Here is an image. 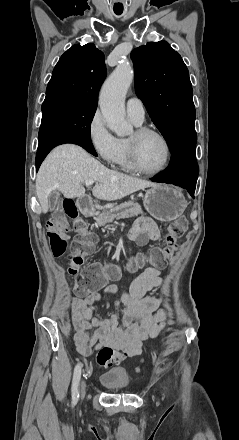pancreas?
Returning a JSON list of instances; mask_svg holds the SVG:
<instances>
[{"label":"pancreas","mask_w":239,"mask_h":440,"mask_svg":"<svg viewBox=\"0 0 239 440\" xmlns=\"http://www.w3.org/2000/svg\"><path fill=\"white\" fill-rule=\"evenodd\" d=\"M94 210V208H92ZM139 214H144L143 210H141V206L139 204H135V202H124V204H120V206H113V208H109V210H103V212H93V216H96L95 220L98 226H106V224H110V222H114V220H121V218H134V216H139Z\"/></svg>","instance_id":"1"}]
</instances>
